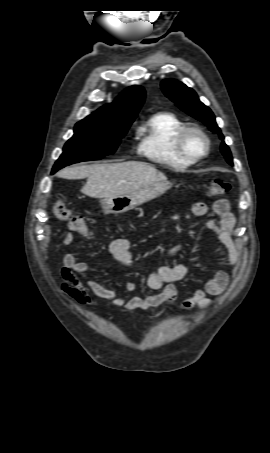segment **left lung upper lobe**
<instances>
[{"label":"left lung upper lobe","mask_w":270,"mask_h":453,"mask_svg":"<svg viewBox=\"0 0 270 453\" xmlns=\"http://www.w3.org/2000/svg\"><path fill=\"white\" fill-rule=\"evenodd\" d=\"M161 88L164 94L176 103L184 112L206 124L212 132L219 133L220 138L222 140L224 139L220 128L215 122L214 114L199 100L193 89L174 79L162 81ZM221 152L225 156L227 162L233 165L231 152L224 142H222L221 145Z\"/></svg>","instance_id":"1"}]
</instances>
